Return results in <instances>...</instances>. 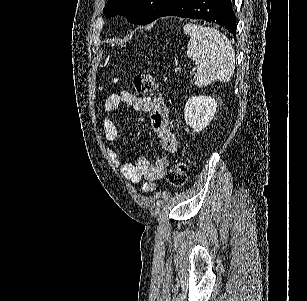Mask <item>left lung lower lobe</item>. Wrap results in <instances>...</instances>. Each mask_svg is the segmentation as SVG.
<instances>
[{
	"instance_id": "1",
	"label": "left lung lower lobe",
	"mask_w": 307,
	"mask_h": 301,
	"mask_svg": "<svg viewBox=\"0 0 307 301\" xmlns=\"http://www.w3.org/2000/svg\"><path fill=\"white\" fill-rule=\"evenodd\" d=\"M163 16L214 22L227 28L236 39V17L233 14L231 0H175L159 17Z\"/></svg>"
}]
</instances>
